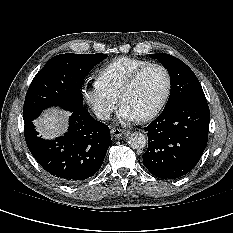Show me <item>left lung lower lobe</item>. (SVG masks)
Returning a JSON list of instances; mask_svg holds the SVG:
<instances>
[{
    "label": "left lung lower lobe",
    "instance_id": "obj_1",
    "mask_svg": "<svg viewBox=\"0 0 233 233\" xmlns=\"http://www.w3.org/2000/svg\"><path fill=\"white\" fill-rule=\"evenodd\" d=\"M207 102H183L164 109L148 127L144 166L155 176L174 179L198 163L208 140Z\"/></svg>",
    "mask_w": 233,
    "mask_h": 233
}]
</instances>
